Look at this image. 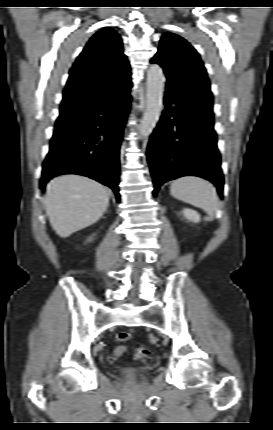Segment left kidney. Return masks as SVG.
Here are the masks:
<instances>
[{"label":"left kidney","mask_w":273,"mask_h":430,"mask_svg":"<svg viewBox=\"0 0 273 430\" xmlns=\"http://www.w3.org/2000/svg\"><path fill=\"white\" fill-rule=\"evenodd\" d=\"M183 215L187 220L191 222H194V223L200 222V215L195 210H192L190 208H185L183 210Z\"/></svg>","instance_id":"1"}]
</instances>
